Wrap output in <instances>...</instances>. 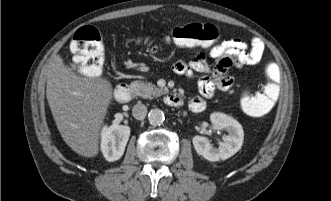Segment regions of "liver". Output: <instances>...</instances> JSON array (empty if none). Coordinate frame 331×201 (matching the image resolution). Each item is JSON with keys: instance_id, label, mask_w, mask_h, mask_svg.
Wrapping results in <instances>:
<instances>
[{"instance_id": "6515ba94", "label": "liver", "mask_w": 331, "mask_h": 201, "mask_svg": "<svg viewBox=\"0 0 331 201\" xmlns=\"http://www.w3.org/2000/svg\"><path fill=\"white\" fill-rule=\"evenodd\" d=\"M46 97L65 143L77 154L99 153L100 130L112 101V85L106 78L81 77L53 55L44 68Z\"/></svg>"}]
</instances>
